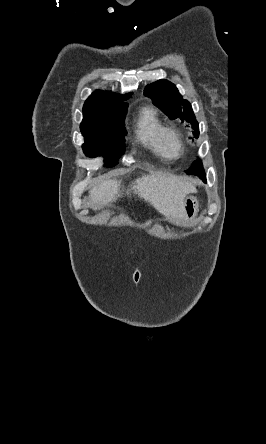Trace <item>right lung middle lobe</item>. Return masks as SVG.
<instances>
[{
  "label": "right lung middle lobe",
  "mask_w": 266,
  "mask_h": 444,
  "mask_svg": "<svg viewBox=\"0 0 266 444\" xmlns=\"http://www.w3.org/2000/svg\"><path fill=\"white\" fill-rule=\"evenodd\" d=\"M127 107L125 102H114L83 111L80 130L85 137L82 148L86 156L103 155L106 167L117 164L125 151L123 122Z\"/></svg>",
  "instance_id": "1"
}]
</instances>
